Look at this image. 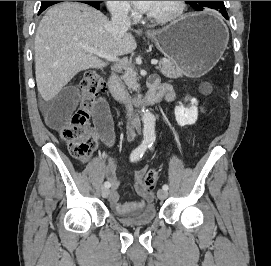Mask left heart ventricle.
Listing matches in <instances>:
<instances>
[{
  "instance_id": "b2bd125f",
  "label": "left heart ventricle",
  "mask_w": 271,
  "mask_h": 266,
  "mask_svg": "<svg viewBox=\"0 0 271 266\" xmlns=\"http://www.w3.org/2000/svg\"><path fill=\"white\" fill-rule=\"evenodd\" d=\"M175 7V1H154L148 11L150 14L161 15L172 11Z\"/></svg>"
}]
</instances>
